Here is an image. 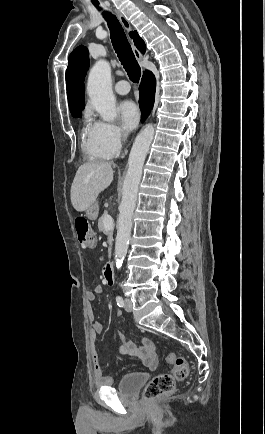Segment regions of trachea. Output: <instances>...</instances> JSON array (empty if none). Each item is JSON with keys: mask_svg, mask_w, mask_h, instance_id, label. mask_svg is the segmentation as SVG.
<instances>
[{"mask_svg": "<svg viewBox=\"0 0 265 434\" xmlns=\"http://www.w3.org/2000/svg\"><path fill=\"white\" fill-rule=\"evenodd\" d=\"M96 8L102 10L98 3L94 4ZM104 18L108 22L110 28L111 40L117 57L126 70L130 80L134 83L139 82L141 76V69L135 55L132 52L131 46L126 38V35L122 29V26L118 22L117 18L107 11H102Z\"/></svg>", "mask_w": 265, "mask_h": 434, "instance_id": "1", "label": "trachea"}]
</instances>
